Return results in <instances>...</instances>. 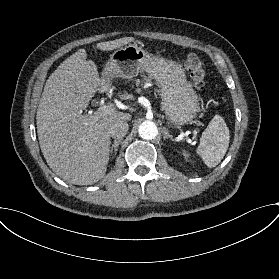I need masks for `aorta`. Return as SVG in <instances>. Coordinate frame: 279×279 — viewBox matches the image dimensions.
<instances>
[{
  "label": "aorta",
  "instance_id": "762f6f07",
  "mask_svg": "<svg viewBox=\"0 0 279 279\" xmlns=\"http://www.w3.org/2000/svg\"><path fill=\"white\" fill-rule=\"evenodd\" d=\"M139 135L142 139L152 140L158 134V129L155 123L151 121H144L138 128Z\"/></svg>",
  "mask_w": 279,
  "mask_h": 279
}]
</instances>
